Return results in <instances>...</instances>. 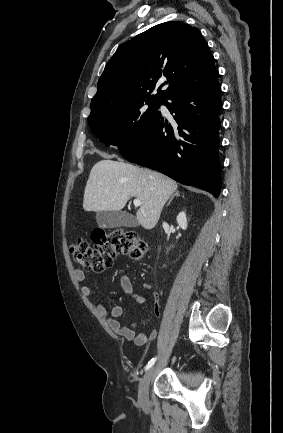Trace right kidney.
I'll return each mask as SVG.
<instances>
[{
    "instance_id": "1",
    "label": "right kidney",
    "mask_w": 283,
    "mask_h": 433,
    "mask_svg": "<svg viewBox=\"0 0 283 433\" xmlns=\"http://www.w3.org/2000/svg\"><path fill=\"white\" fill-rule=\"evenodd\" d=\"M178 225L182 228V229H186L187 228V218H186V214L185 212H180L176 218Z\"/></svg>"
}]
</instances>
